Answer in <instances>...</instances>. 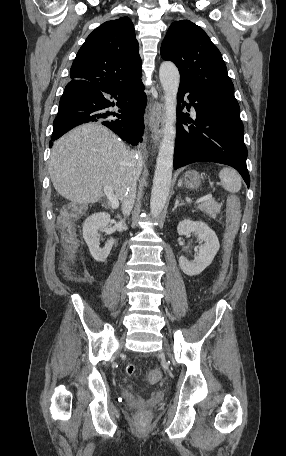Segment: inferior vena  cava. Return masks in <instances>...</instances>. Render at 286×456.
I'll return each instance as SVG.
<instances>
[{
	"label": "inferior vena cava",
	"instance_id": "1",
	"mask_svg": "<svg viewBox=\"0 0 286 456\" xmlns=\"http://www.w3.org/2000/svg\"><path fill=\"white\" fill-rule=\"evenodd\" d=\"M141 159L136 160V163H140ZM136 174L140 171L138 165L135 166ZM136 176H134L131 185L127 189L125 195L122 198V213L124 216H129L134 205L136 197Z\"/></svg>",
	"mask_w": 286,
	"mask_h": 456
}]
</instances>
